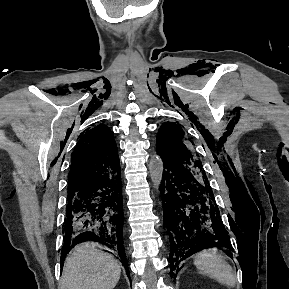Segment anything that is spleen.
Wrapping results in <instances>:
<instances>
[{
	"label": "spleen",
	"mask_w": 289,
	"mask_h": 289,
	"mask_svg": "<svg viewBox=\"0 0 289 289\" xmlns=\"http://www.w3.org/2000/svg\"><path fill=\"white\" fill-rule=\"evenodd\" d=\"M194 264L201 274L213 278L224 286H235L236 276L233 269L216 248L206 249L196 254Z\"/></svg>",
	"instance_id": "1"
}]
</instances>
